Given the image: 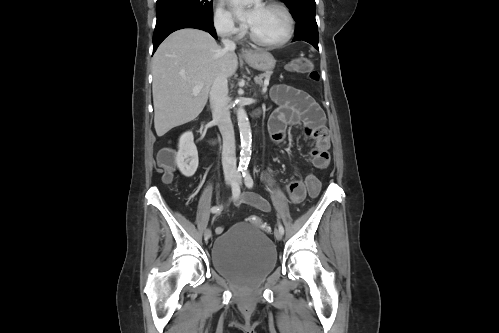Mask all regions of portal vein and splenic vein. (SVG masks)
Returning a JSON list of instances; mask_svg holds the SVG:
<instances>
[{
	"instance_id": "1",
	"label": "portal vein and splenic vein",
	"mask_w": 499,
	"mask_h": 333,
	"mask_svg": "<svg viewBox=\"0 0 499 333\" xmlns=\"http://www.w3.org/2000/svg\"><path fill=\"white\" fill-rule=\"evenodd\" d=\"M268 83H269V81H268V80H265V85H264V87H263V92H266V91H267V85H268ZM202 86H203V85H202V83H198V84L194 87V89H193V93H194V94L198 93V92L201 90Z\"/></svg>"
}]
</instances>
